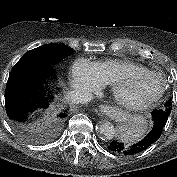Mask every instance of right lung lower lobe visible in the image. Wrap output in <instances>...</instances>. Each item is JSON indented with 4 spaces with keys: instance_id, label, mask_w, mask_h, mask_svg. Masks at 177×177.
Segmentation results:
<instances>
[{
    "instance_id": "obj_1",
    "label": "right lung lower lobe",
    "mask_w": 177,
    "mask_h": 177,
    "mask_svg": "<svg viewBox=\"0 0 177 177\" xmlns=\"http://www.w3.org/2000/svg\"><path fill=\"white\" fill-rule=\"evenodd\" d=\"M55 77L52 64L22 57L12 69L6 86L5 106L9 118L15 123H22L34 111L46 109L54 97L47 93L45 85ZM66 116L65 112L57 115L61 119Z\"/></svg>"
}]
</instances>
